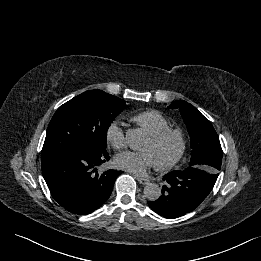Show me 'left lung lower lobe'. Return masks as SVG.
I'll list each match as a JSON object with an SVG mask.
<instances>
[{
  "label": "left lung lower lobe",
  "instance_id": "0a47b994",
  "mask_svg": "<svg viewBox=\"0 0 261 261\" xmlns=\"http://www.w3.org/2000/svg\"><path fill=\"white\" fill-rule=\"evenodd\" d=\"M219 173L205 166L190 165L163 177L162 195L148 201L149 207L165 218H177L193 211L209 195Z\"/></svg>",
  "mask_w": 261,
  "mask_h": 261
}]
</instances>
